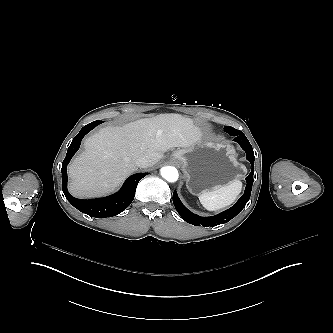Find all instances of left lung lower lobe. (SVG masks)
<instances>
[{
  "label": "left lung lower lobe",
  "mask_w": 333,
  "mask_h": 333,
  "mask_svg": "<svg viewBox=\"0 0 333 333\" xmlns=\"http://www.w3.org/2000/svg\"><path fill=\"white\" fill-rule=\"evenodd\" d=\"M225 132L229 135L234 136V141L239 143L242 149L246 152V159L251 163L252 170L250 174L246 177V188L244 194L231 208L221 212L218 215L211 217H200L192 212H190L178 198L177 192H173V203L178 211L179 215L188 223L196 226H216L223 223L229 222L234 218L241 210L245 207L246 203L250 199L252 185H253V174H254V153L251 144L249 143L246 136L240 130H237L231 126L225 127Z\"/></svg>",
  "instance_id": "1"
}]
</instances>
